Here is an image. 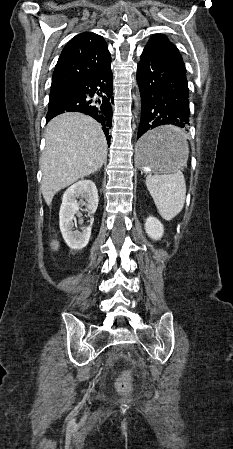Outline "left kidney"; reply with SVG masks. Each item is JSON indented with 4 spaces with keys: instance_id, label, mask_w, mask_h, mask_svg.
<instances>
[{
    "instance_id": "1",
    "label": "left kidney",
    "mask_w": 233,
    "mask_h": 449,
    "mask_svg": "<svg viewBox=\"0 0 233 449\" xmlns=\"http://www.w3.org/2000/svg\"><path fill=\"white\" fill-rule=\"evenodd\" d=\"M145 229L148 236L153 240H159L164 233L163 224L153 216L146 219Z\"/></svg>"
}]
</instances>
